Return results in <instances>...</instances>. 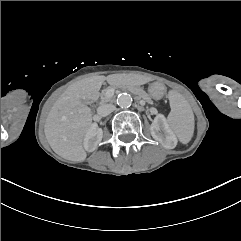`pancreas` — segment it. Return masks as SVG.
I'll return each instance as SVG.
<instances>
[{
  "label": "pancreas",
  "mask_w": 241,
  "mask_h": 241,
  "mask_svg": "<svg viewBox=\"0 0 241 241\" xmlns=\"http://www.w3.org/2000/svg\"><path fill=\"white\" fill-rule=\"evenodd\" d=\"M130 91L134 92L137 96H141L144 99H146L149 104L153 103L152 96L146 91H142L141 88L138 89V88L131 87ZM100 99H101V103H107V102H111L113 100V97H109L106 94V89H105L102 91Z\"/></svg>",
  "instance_id": "cf45deb5"
}]
</instances>
